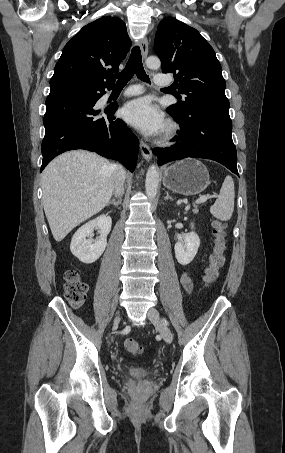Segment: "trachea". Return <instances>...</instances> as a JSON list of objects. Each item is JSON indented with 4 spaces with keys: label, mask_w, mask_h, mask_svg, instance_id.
Wrapping results in <instances>:
<instances>
[{
    "label": "trachea",
    "mask_w": 285,
    "mask_h": 453,
    "mask_svg": "<svg viewBox=\"0 0 285 453\" xmlns=\"http://www.w3.org/2000/svg\"><path fill=\"white\" fill-rule=\"evenodd\" d=\"M134 73H136V76L140 80L148 83L150 82L149 77L147 76L143 68L141 51L138 46L133 47L130 58L124 70L121 73L115 75V77L118 79L116 86H125L127 82L133 77Z\"/></svg>",
    "instance_id": "trachea-1"
}]
</instances>
